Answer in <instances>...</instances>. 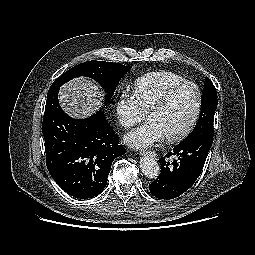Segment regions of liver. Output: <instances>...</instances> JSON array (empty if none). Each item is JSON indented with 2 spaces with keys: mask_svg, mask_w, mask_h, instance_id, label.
<instances>
[{
  "mask_svg": "<svg viewBox=\"0 0 255 255\" xmlns=\"http://www.w3.org/2000/svg\"><path fill=\"white\" fill-rule=\"evenodd\" d=\"M59 100L68 115L74 118H85L99 108L102 92L91 80L78 78L61 88Z\"/></svg>",
  "mask_w": 255,
  "mask_h": 255,
  "instance_id": "obj_1",
  "label": "liver"
}]
</instances>
